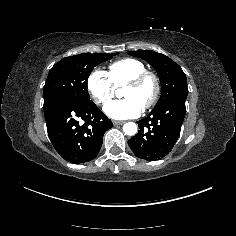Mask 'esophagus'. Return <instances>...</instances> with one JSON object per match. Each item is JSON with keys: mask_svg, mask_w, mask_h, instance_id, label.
Instances as JSON below:
<instances>
[{"mask_svg": "<svg viewBox=\"0 0 236 236\" xmlns=\"http://www.w3.org/2000/svg\"><path fill=\"white\" fill-rule=\"evenodd\" d=\"M124 123H125L124 121H113L114 125H122Z\"/></svg>", "mask_w": 236, "mask_h": 236, "instance_id": "34e87169", "label": "esophagus"}]
</instances>
